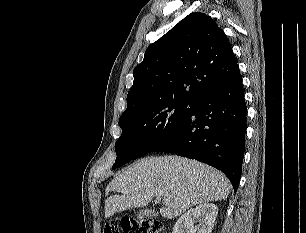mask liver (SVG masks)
Masks as SVG:
<instances>
[{"instance_id": "liver-1", "label": "liver", "mask_w": 306, "mask_h": 233, "mask_svg": "<svg viewBox=\"0 0 306 233\" xmlns=\"http://www.w3.org/2000/svg\"><path fill=\"white\" fill-rule=\"evenodd\" d=\"M230 190V182L222 172L196 160L179 156L144 158L107 186V192L122 195L106 199L105 218L146 206L154 196H160L168 200L160 213L171 219L194 205L225 200Z\"/></svg>"}]
</instances>
